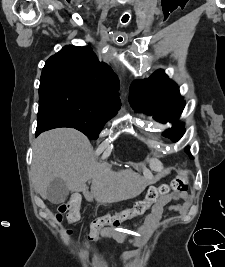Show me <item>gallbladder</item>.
Wrapping results in <instances>:
<instances>
[{
  "label": "gallbladder",
  "instance_id": "obj_1",
  "mask_svg": "<svg viewBox=\"0 0 225 267\" xmlns=\"http://www.w3.org/2000/svg\"><path fill=\"white\" fill-rule=\"evenodd\" d=\"M67 195L68 188L61 178H55L47 187V198L53 204L64 202Z\"/></svg>",
  "mask_w": 225,
  "mask_h": 267
}]
</instances>
